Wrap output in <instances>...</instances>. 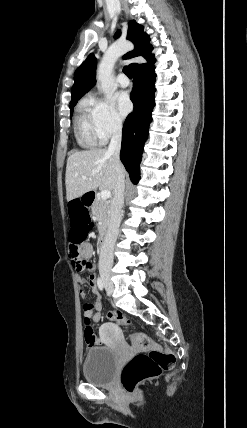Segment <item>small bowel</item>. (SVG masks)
Wrapping results in <instances>:
<instances>
[{"mask_svg": "<svg viewBox=\"0 0 247 428\" xmlns=\"http://www.w3.org/2000/svg\"><path fill=\"white\" fill-rule=\"evenodd\" d=\"M79 255H80V258L86 260L89 263L87 270L92 271L94 266H93V263L90 261L93 255V248L91 244L84 243L82 247H79ZM72 261H73L74 267L77 269L76 262L73 258H72ZM84 284H87L90 287L91 292L94 295L98 296V288H97L98 285L96 284L94 273H90L87 282L83 280L80 281L79 293L81 298L84 300L83 301L84 316L88 317L90 320L94 322H98L101 319L102 304L98 298H96V300L92 303L85 301L86 293L82 288V285ZM99 342H102V340H98V341L96 340L95 344Z\"/></svg>", "mask_w": 247, "mask_h": 428, "instance_id": "c3829d8e", "label": "small bowel"}]
</instances>
